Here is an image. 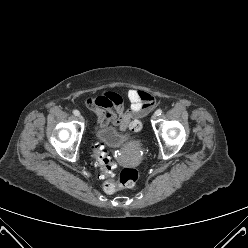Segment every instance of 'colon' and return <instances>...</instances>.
<instances>
[{
  "label": "colon",
  "mask_w": 248,
  "mask_h": 248,
  "mask_svg": "<svg viewBox=\"0 0 248 248\" xmlns=\"http://www.w3.org/2000/svg\"><path fill=\"white\" fill-rule=\"evenodd\" d=\"M131 129L134 132L141 130V123L139 121L133 122ZM94 154L96 163L101 170L102 177H111L115 172V164L111 156L101 145L94 146ZM139 179V171L136 168L128 167L121 171L119 182L108 180L103 184V189L106 193H114L119 188L133 187Z\"/></svg>",
  "instance_id": "obj_1"
}]
</instances>
